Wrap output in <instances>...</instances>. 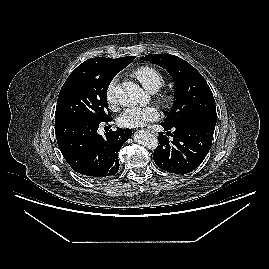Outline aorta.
<instances>
[{
  "instance_id": "aorta-1",
  "label": "aorta",
  "mask_w": 269,
  "mask_h": 269,
  "mask_svg": "<svg viewBox=\"0 0 269 269\" xmlns=\"http://www.w3.org/2000/svg\"><path fill=\"white\" fill-rule=\"evenodd\" d=\"M115 98L122 106H135L143 98L144 93L140 86L133 82H123L114 88ZM134 139L140 145L148 149H156L159 146L158 138L147 130H140L134 134Z\"/></svg>"
}]
</instances>
